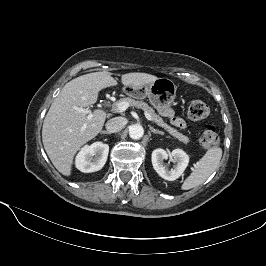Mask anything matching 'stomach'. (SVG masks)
Wrapping results in <instances>:
<instances>
[{"label": "stomach", "instance_id": "1", "mask_svg": "<svg viewBox=\"0 0 266 266\" xmlns=\"http://www.w3.org/2000/svg\"><path fill=\"white\" fill-rule=\"evenodd\" d=\"M124 92L134 98L148 97L157 110L169 108L176 97L177 86L169 78H158L152 84L139 87L124 86Z\"/></svg>", "mask_w": 266, "mask_h": 266}]
</instances>
